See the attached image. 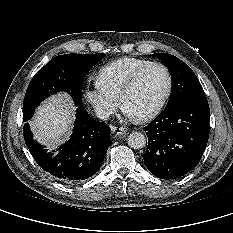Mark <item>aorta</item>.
<instances>
[{
	"label": "aorta",
	"instance_id": "762f6f07",
	"mask_svg": "<svg viewBox=\"0 0 233 233\" xmlns=\"http://www.w3.org/2000/svg\"><path fill=\"white\" fill-rule=\"evenodd\" d=\"M146 136L140 132H132L127 137V143L129 147L133 149H141L146 145Z\"/></svg>",
	"mask_w": 233,
	"mask_h": 233
}]
</instances>
